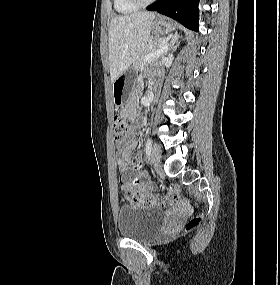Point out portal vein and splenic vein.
<instances>
[{"mask_svg": "<svg viewBox=\"0 0 280 285\" xmlns=\"http://www.w3.org/2000/svg\"><path fill=\"white\" fill-rule=\"evenodd\" d=\"M168 50H169V47H168V46H163V47H161L160 49H158V50H156V51H154V52H152V53L146 55V56L144 57V61H145V62L151 61V60H153V59L159 57L161 54L166 53Z\"/></svg>", "mask_w": 280, "mask_h": 285, "instance_id": "portal-vein-and-splenic-vein-1", "label": "portal vein and splenic vein"}]
</instances>
